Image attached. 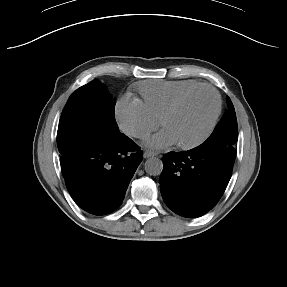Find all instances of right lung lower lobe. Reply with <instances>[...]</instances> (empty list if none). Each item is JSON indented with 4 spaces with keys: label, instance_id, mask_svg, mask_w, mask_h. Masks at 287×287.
Here are the masks:
<instances>
[{
    "label": "right lung lower lobe",
    "instance_id": "1",
    "mask_svg": "<svg viewBox=\"0 0 287 287\" xmlns=\"http://www.w3.org/2000/svg\"><path fill=\"white\" fill-rule=\"evenodd\" d=\"M142 151L122 133L81 145L61 157L66 187L85 211L105 215L117 209L142 161Z\"/></svg>",
    "mask_w": 287,
    "mask_h": 287
}]
</instances>
